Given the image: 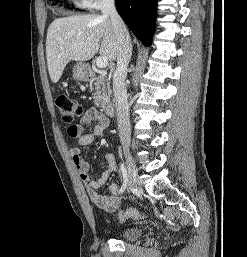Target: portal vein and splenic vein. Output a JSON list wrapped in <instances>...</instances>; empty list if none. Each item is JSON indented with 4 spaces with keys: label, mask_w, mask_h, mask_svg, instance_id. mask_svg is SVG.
<instances>
[{
    "label": "portal vein and splenic vein",
    "mask_w": 247,
    "mask_h": 257,
    "mask_svg": "<svg viewBox=\"0 0 247 257\" xmlns=\"http://www.w3.org/2000/svg\"><path fill=\"white\" fill-rule=\"evenodd\" d=\"M96 65L100 69L106 68L108 65V59L104 56H100L96 59Z\"/></svg>",
    "instance_id": "18ae733b"
}]
</instances>
